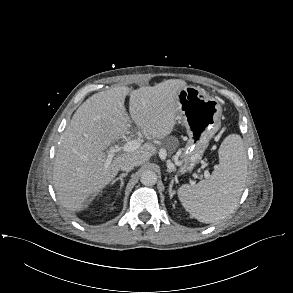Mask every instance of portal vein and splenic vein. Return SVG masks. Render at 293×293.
<instances>
[{"mask_svg":"<svg viewBox=\"0 0 293 293\" xmlns=\"http://www.w3.org/2000/svg\"><path fill=\"white\" fill-rule=\"evenodd\" d=\"M140 147V142L137 141V140H129L127 141L123 146L119 147L118 149H113V150H110L108 155H107V159H106V162H105V169L109 167L113 157L115 156V153L117 152H130V151H134L136 149H138ZM210 174H209V171L206 170L205 173H204V177L205 178H209Z\"/></svg>","mask_w":293,"mask_h":293,"instance_id":"obj_1","label":"portal vein and splenic vein"}]
</instances>
